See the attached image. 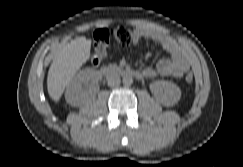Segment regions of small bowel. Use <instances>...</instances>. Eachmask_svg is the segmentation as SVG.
<instances>
[{
    "instance_id": "small-bowel-1",
    "label": "small bowel",
    "mask_w": 243,
    "mask_h": 167,
    "mask_svg": "<svg viewBox=\"0 0 243 167\" xmlns=\"http://www.w3.org/2000/svg\"><path fill=\"white\" fill-rule=\"evenodd\" d=\"M143 39H149L168 53V58L160 59L154 67H146L143 69L146 78H153L156 76L180 78L189 69V60L182 49L171 37L165 33L139 26L134 29L133 40L135 43Z\"/></svg>"
}]
</instances>
